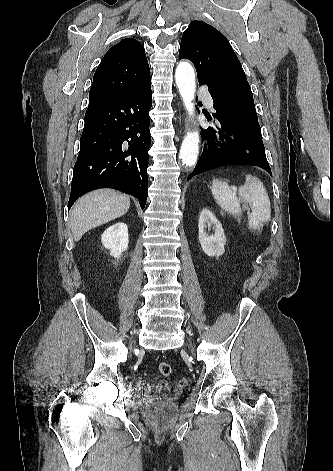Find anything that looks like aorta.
<instances>
[{"label": "aorta", "mask_w": 333, "mask_h": 471, "mask_svg": "<svg viewBox=\"0 0 333 471\" xmlns=\"http://www.w3.org/2000/svg\"><path fill=\"white\" fill-rule=\"evenodd\" d=\"M175 80L189 116L194 114L195 73L189 62L181 61L175 71ZM199 154V133L188 132L181 145L179 158L186 166H193Z\"/></svg>", "instance_id": "aorta-1"}]
</instances>
